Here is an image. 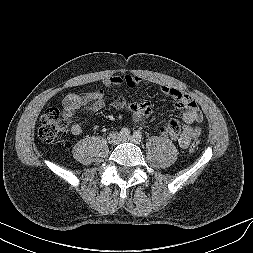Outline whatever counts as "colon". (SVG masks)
<instances>
[{
    "instance_id": "1",
    "label": "colon",
    "mask_w": 253,
    "mask_h": 253,
    "mask_svg": "<svg viewBox=\"0 0 253 253\" xmlns=\"http://www.w3.org/2000/svg\"><path fill=\"white\" fill-rule=\"evenodd\" d=\"M70 128V120L62 113L59 106L48 108L40 119L38 136L44 143H51L65 136ZM199 143L194 141L189 151L195 153L198 150Z\"/></svg>"
}]
</instances>
